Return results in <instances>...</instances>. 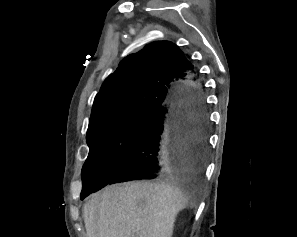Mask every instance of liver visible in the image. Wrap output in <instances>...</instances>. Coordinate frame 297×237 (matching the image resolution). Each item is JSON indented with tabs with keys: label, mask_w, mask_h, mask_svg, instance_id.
<instances>
[{
	"label": "liver",
	"mask_w": 297,
	"mask_h": 237,
	"mask_svg": "<svg viewBox=\"0 0 297 237\" xmlns=\"http://www.w3.org/2000/svg\"><path fill=\"white\" fill-rule=\"evenodd\" d=\"M172 180L128 182L94 194L83 207L87 237H172L177 214L194 206Z\"/></svg>",
	"instance_id": "1"
}]
</instances>
